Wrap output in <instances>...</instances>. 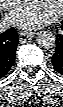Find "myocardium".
I'll return each instance as SVG.
<instances>
[{"mask_svg": "<svg viewBox=\"0 0 63 107\" xmlns=\"http://www.w3.org/2000/svg\"><path fill=\"white\" fill-rule=\"evenodd\" d=\"M62 7H63V1L60 0L59 7H58L57 11L53 14V16L55 18L58 17L59 15H61V13H62Z\"/></svg>", "mask_w": 63, "mask_h": 107, "instance_id": "obj_1", "label": "myocardium"}]
</instances>
